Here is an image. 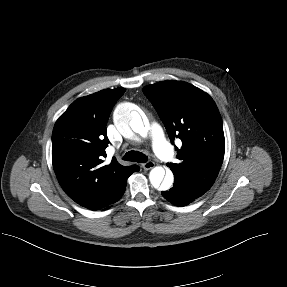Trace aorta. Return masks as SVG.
Masks as SVG:
<instances>
[{
	"instance_id": "762f6f07",
	"label": "aorta",
	"mask_w": 287,
	"mask_h": 287,
	"mask_svg": "<svg viewBox=\"0 0 287 287\" xmlns=\"http://www.w3.org/2000/svg\"><path fill=\"white\" fill-rule=\"evenodd\" d=\"M114 122L116 127L122 131L129 127L135 132L140 134L142 137L147 135L148 122L146 125L140 114L137 111H132L128 106L121 105L114 112ZM149 180L152 186L160 190H169L174 182V176L171 171H167L161 166L154 167L149 174Z\"/></svg>"
}]
</instances>
